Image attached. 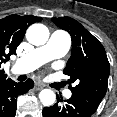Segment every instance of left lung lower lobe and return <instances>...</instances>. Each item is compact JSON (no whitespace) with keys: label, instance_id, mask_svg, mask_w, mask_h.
I'll list each match as a JSON object with an SVG mask.
<instances>
[{"label":"left lung lower lobe","instance_id":"1","mask_svg":"<svg viewBox=\"0 0 117 117\" xmlns=\"http://www.w3.org/2000/svg\"><path fill=\"white\" fill-rule=\"evenodd\" d=\"M96 110L72 95L63 101L57 97V103L43 109V117H90Z\"/></svg>","mask_w":117,"mask_h":117}]
</instances>
